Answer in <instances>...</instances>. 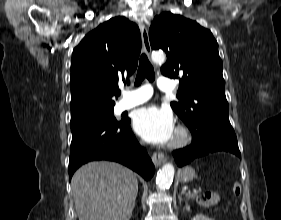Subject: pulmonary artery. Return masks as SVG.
<instances>
[{
	"instance_id": "e3ab8cb5",
	"label": "pulmonary artery",
	"mask_w": 281,
	"mask_h": 220,
	"mask_svg": "<svg viewBox=\"0 0 281 220\" xmlns=\"http://www.w3.org/2000/svg\"><path fill=\"white\" fill-rule=\"evenodd\" d=\"M157 86L161 91L169 92L175 87L174 82L164 76L158 78ZM153 90L150 85H143L137 89L124 92V97L120 103L122 110L136 107L146 101L152 96Z\"/></svg>"
}]
</instances>
